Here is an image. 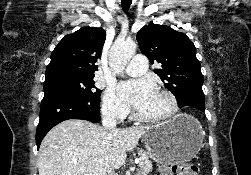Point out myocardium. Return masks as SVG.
I'll use <instances>...</instances> for the list:
<instances>
[{
	"mask_svg": "<svg viewBox=\"0 0 251 175\" xmlns=\"http://www.w3.org/2000/svg\"><path fill=\"white\" fill-rule=\"evenodd\" d=\"M159 93L165 96L170 104V110L161 116H148L142 114L141 117L149 122L155 123H168L174 119H176L181 111V105L177 95L170 89H160Z\"/></svg>",
	"mask_w": 251,
	"mask_h": 175,
	"instance_id": "myocardium-1",
	"label": "myocardium"
}]
</instances>
